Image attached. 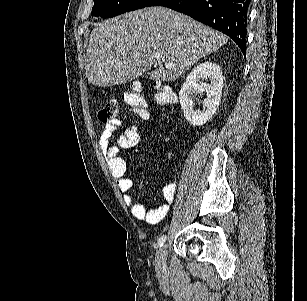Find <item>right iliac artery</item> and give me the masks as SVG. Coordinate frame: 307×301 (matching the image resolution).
Returning a JSON list of instances; mask_svg holds the SVG:
<instances>
[{"instance_id": "1", "label": "right iliac artery", "mask_w": 307, "mask_h": 301, "mask_svg": "<svg viewBox=\"0 0 307 301\" xmlns=\"http://www.w3.org/2000/svg\"><path fill=\"white\" fill-rule=\"evenodd\" d=\"M167 236L166 235H162L159 240H158V245L161 246L163 245V243L166 241Z\"/></svg>"}]
</instances>
